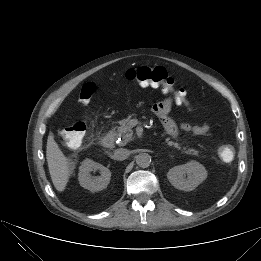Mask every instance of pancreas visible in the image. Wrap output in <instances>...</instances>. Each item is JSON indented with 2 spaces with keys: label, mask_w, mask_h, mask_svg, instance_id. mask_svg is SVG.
Here are the masks:
<instances>
[{
  "label": "pancreas",
  "mask_w": 261,
  "mask_h": 261,
  "mask_svg": "<svg viewBox=\"0 0 261 261\" xmlns=\"http://www.w3.org/2000/svg\"><path fill=\"white\" fill-rule=\"evenodd\" d=\"M131 116H129L127 119H123L120 122V126L116 128V134L117 136L122 138V145H125L127 142H129L132 139L133 131H132V125H131ZM165 134H163L164 136ZM166 142L169 146H172L178 150H181L183 153L193 156H198L199 152L192 148H186L181 147V145L177 142L171 141L170 138L166 139Z\"/></svg>",
  "instance_id": "pancreas-1"
}]
</instances>
